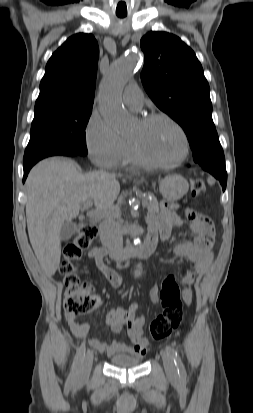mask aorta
I'll return each instance as SVG.
<instances>
[{
  "label": "aorta",
  "instance_id": "obj_1",
  "mask_svg": "<svg viewBox=\"0 0 253 413\" xmlns=\"http://www.w3.org/2000/svg\"><path fill=\"white\" fill-rule=\"evenodd\" d=\"M137 52H131L127 57L115 60L103 77L98 92V104L103 117L119 132L128 131L133 124L132 118L122 103V92L133 75L138 62ZM139 232L131 229L134 244L139 245Z\"/></svg>",
  "mask_w": 253,
  "mask_h": 413
}]
</instances>
